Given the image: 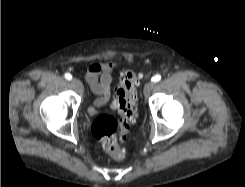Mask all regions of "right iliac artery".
Returning <instances> with one entry per match:
<instances>
[{
  "mask_svg": "<svg viewBox=\"0 0 245 187\" xmlns=\"http://www.w3.org/2000/svg\"><path fill=\"white\" fill-rule=\"evenodd\" d=\"M64 76H65V78L67 80H71L72 79V75L70 73H66Z\"/></svg>",
  "mask_w": 245,
  "mask_h": 187,
  "instance_id": "obj_1",
  "label": "right iliac artery"
}]
</instances>
